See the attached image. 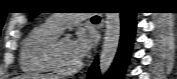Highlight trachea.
<instances>
[{"label":"trachea","instance_id":"trachea-1","mask_svg":"<svg viewBox=\"0 0 177 79\" xmlns=\"http://www.w3.org/2000/svg\"><path fill=\"white\" fill-rule=\"evenodd\" d=\"M92 20H93V21H97V20H100V18H99L98 16H94V17L92 18Z\"/></svg>","mask_w":177,"mask_h":79}]
</instances>
